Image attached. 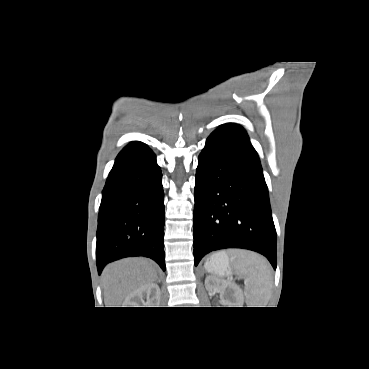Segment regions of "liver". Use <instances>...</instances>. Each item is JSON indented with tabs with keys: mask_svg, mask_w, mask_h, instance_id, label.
I'll return each instance as SVG.
<instances>
[{
	"mask_svg": "<svg viewBox=\"0 0 369 369\" xmlns=\"http://www.w3.org/2000/svg\"><path fill=\"white\" fill-rule=\"evenodd\" d=\"M157 280L155 264L145 258H127L107 265L102 273L106 307H119L139 287Z\"/></svg>",
	"mask_w": 369,
	"mask_h": 369,
	"instance_id": "liver-1",
	"label": "liver"
}]
</instances>
